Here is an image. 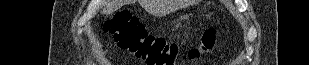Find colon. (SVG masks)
Masks as SVG:
<instances>
[{
  "mask_svg": "<svg viewBox=\"0 0 309 65\" xmlns=\"http://www.w3.org/2000/svg\"><path fill=\"white\" fill-rule=\"evenodd\" d=\"M104 32L113 36L118 48L133 54L146 65H174L180 56L179 48L164 38L150 35L137 17L129 11H118L103 23ZM216 41L213 28L204 30L197 47L187 51L186 60H196L210 51Z\"/></svg>",
  "mask_w": 309,
  "mask_h": 65,
  "instance_id": "5ec220e1",
  "label": "colon"
}]
</instances>
